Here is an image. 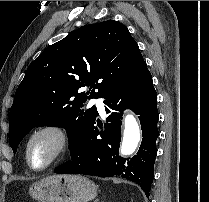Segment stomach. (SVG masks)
<instances>
[{"instance_id": "0dacf381", "label": "stomach", "mask_w": 209, "mask_h": 202, "mask_svg": "<svg viewBox=\"0 0 209 202\" xmlns=\"http://www.w3.org/2000/svg\"><path fill=\"white\" fill-rule=\"evenodd\" d=\"M29 194L38 202H89L97 186L81 175H51L33 183Z\"/></svg>"}]
</instances>
